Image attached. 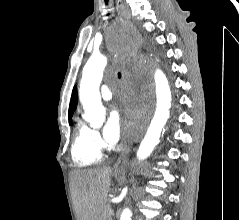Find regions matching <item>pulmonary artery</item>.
Wrapping results in <instances>:
<instances>
[{
	"label": "pulmonary artery",
	"instance_id": "obj_1",
	"mask_svg": "<svg viewBox=\"0 0 239 220\" xmlns=\"http://www.w3.org/2000/svg\"><path fill=\"white\" fill-rule=\"evenodd\" d=\"M100 93L103 100L108 101L112 99V92L109 86L103 85L101 87Z\"/></svg>",
	"mask_w": 239,
	"mask_h": 220
}]
</instances>
